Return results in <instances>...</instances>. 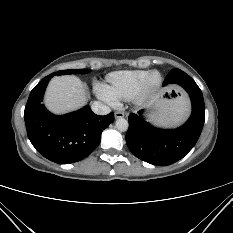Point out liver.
<instances>
[{
    "instance_id": "1",
    "label": "liver",
    "mask_w": 233,
    "mask_h": 233,
    "mask_svg": "<svg viewBox=\"0 0 233 233\" xmlns=\"http://www.w3.org/2000/svg\"><path fill=\"white\" fill-rule=\"evenodd\" d=\"M44 103L55 114L75 111L87 103L85 85L74 75L56 76L48 84Z\"/></svg>"
}]
</instances>
